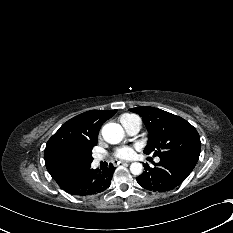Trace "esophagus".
Returning a JSON list of instances; mask_svg holds the SVG:
<instances>
[{"mask_svg": "<svg viewBox=\"0 0 233 233\" xmlns=\"http://www.w3.org/2000/svg\"><path fill=\"white\" fill-rule=\"evenodd\" d=\"M130 161H122L121 163L122 164H125V163H129Z\"/></svg>", "mask_w": 233, "mask_h": 233, "instance_id": "esophagus-1", "label": "esophagus"}]
</instances>
